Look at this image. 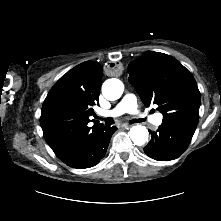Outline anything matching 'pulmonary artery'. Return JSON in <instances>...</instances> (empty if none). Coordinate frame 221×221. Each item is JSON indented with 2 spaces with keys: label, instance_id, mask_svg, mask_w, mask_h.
<instances>
[{
  "label": "pulmonary artery",
  "instance_id": "pulmonary-artery-1",
  "mask_svg": "<svg viewBox=\"0 0 221 221\" xmlns=\"http://www.w3.org/2000/svg\"><path fill=\"white\" fill-rule=\"evenodd\" d=\"M124 113H134L138 118L145 119L154 125H160L163 120V116L160 114L151 115L139 111L136 97L132 94L125 95L115 108L109 111H102L101 115L105 117H116Z\"/></svg>",
  "mask_w": 221,
  "mask_h": 221
}]
</instances>
